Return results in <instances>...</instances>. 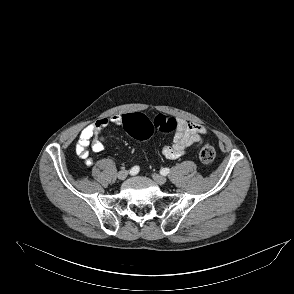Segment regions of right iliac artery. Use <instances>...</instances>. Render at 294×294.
Masks as SVG:
<instances>
[{
    "label": "right iliac artery",
    "mask_w": 294,
    "mask_h": 294,
    "mask_svg": "<svg viewBox=\"0 0 294 294\" xmlns=\"http://www.w3.org/2000/svg\"><path fill=\"white\" fill-rule=\"evenodd\" d=\"M139 172V167L138 166H134L131 170H130V174L131 175H136Z\"/></svg>",
    "instance_id": "right-iliac-artery-1"
}]
</instances>
